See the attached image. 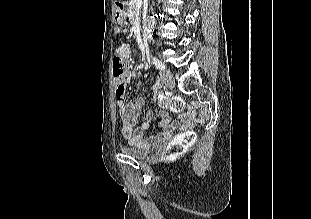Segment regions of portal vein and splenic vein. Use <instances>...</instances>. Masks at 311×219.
I'll list each match as a JSON object with an SVG mask.
<instances>
[{
    "label": "portal vein and splenic vein",
    "mask_w": 311,
    "mask_h": 219,
    "mask_svg": "<svg viewBox=\"0 0 311 219\" xmlns=\"http://www.w3.org/2000/svg\"><path fill=\"white\" fill-rule=\"evenodd\" d=\"M137 7H140L142 4V0H134Z\"/></svg>",
    "instance_id": "portal-vein-and-splenic-vein-1"
}]
</instances>
